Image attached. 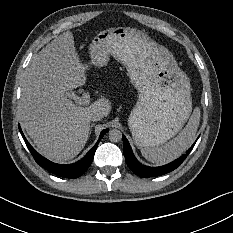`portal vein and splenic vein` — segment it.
Here are the masks:
<instances>
[{
	"mask_svg": "<svg viewBox=\"0 0 233 233\" xmlns=\"http://www.w3.org/2000/svg\"><path fill=\"white\" fill-rule=\"evenodd\" d=\"M68 98L74 101L76 106H85L89 105L92 101L90 95L88 93H83L82 96H78L73 92L67 93Z\"/></svg>",
	"mask_w": 233,
	"mask_h": 233,
	"instance_id": "portal-vein-and-splenic-vein-1",
	"label": "portal vein and splenic vein"
}]
</instances>
